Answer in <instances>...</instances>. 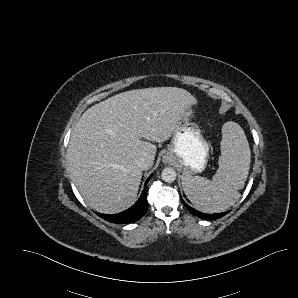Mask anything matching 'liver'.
Wrapping results in <instances>:
<instances>
[{
  "label": "liver",
  "mask_w": 298,
  "mask_h": 298,
  "mask_svg": "<svg viewBox=\"0 0 298 298\" xmlns=\"http://www.w3.org/2000/svg\"><path fill=\"white\" fill-rule=\"evenodd\" d=\"M197 102L185 88L157 86L113 95L88 108L73 129L68 161L83 200L102 214H117L136 201L145 158L168 140L182 109ZM140 137L148 141L141 140Z\"/></svg>",
  "instance_id": "obj_1"
}]
</instances>
